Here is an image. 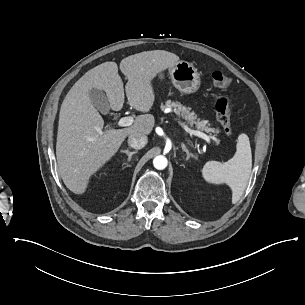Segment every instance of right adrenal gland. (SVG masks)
<instances>
[{"label":"right adrenal gland","mask_w":305,"mask_h":305,"mask_svg":"<svg viewBox=\"0 0 305 305\" xmlns=\"http://www.w3.org/2000/svg\"><path fill=\"white\" fill-rule=\"evenodd\" d=\"M137 152L138 151H133V152L123 151L122 153L127 156V162H130L132 155L137 154Z\"/></svg>","instance_id":"obj_1"}]
</instances>
